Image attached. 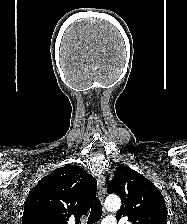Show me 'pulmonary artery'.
Listing matches in <instances>:
<instances>
[{"label": "pulmonary artery", "mask_w": 187, "mask_h": 224, "mask_svg": "<svg viewBox=\"0 0 187 224\" xmlns=\"http://www.w3.org/2000/svg\"><path fill=\"white\" fill-rule=\"evenodd\" d=\"M102 224H116V221L113 217H107L102 221Z\"/></svg>", "instance_id": "obj_1"}]
</instances>
